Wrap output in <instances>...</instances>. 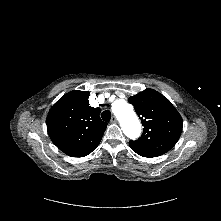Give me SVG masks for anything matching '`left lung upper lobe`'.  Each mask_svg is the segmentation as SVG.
<instances>
[{"label": "left lung upper lobe", "mask_w": 221, "mask_h": 221, "mask_svg": "<svg viewBox=\"0 0 221 221\" xmlns=\"http://www.w3.org/2000/svg\"><path fill=\"white\" fill-rule=\"evenodd\" d=\"M128 101L141 119L142 136L129 146L143 157H157L168 152L179 140L182 117L172 103L153 89L131 96Z\"/></svg>", "instance_id": "left-lung-upper-lobe-1"}]
</instances>
